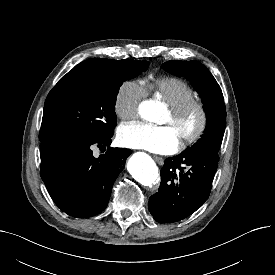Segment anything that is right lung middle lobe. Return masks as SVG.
<instances>
[{
    "mask_svg": "<svg viewBox=\"0 0 275 275\" xmlns=\"http://www.w3.org/2000/svg\"><path fill=\"white\" fill-rule=\"evenodd\" d=\"M148 61L112 60L106 67L73 68L48 94L39 139L41 148L62 142L111 137L119 87L148 69Z\"/></svg>",
    "mask_w": 275,
    "mask_h": 275,
    "instance_id": "dd1d6c3e",
    "label": "right lung middle lobe"
}]
</instances>
